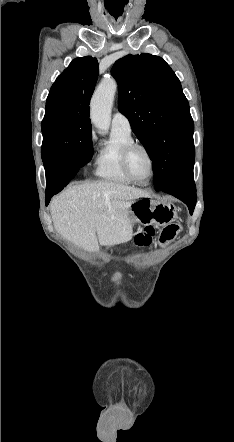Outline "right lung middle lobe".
I'll return each instance as SVG.
<instances>
[{"label":"right lung middle lobe","instance_id":"obj_1","mask_svg":"<svg viewBox=\"0 0 234 442\" xmlns=\"http://www.w3.org/2000/svg\"><path fill=\"white\" fill-rule=\"evenodd\" d=\"M43 163L68 156L78 167L89 162L94 153L92 129L80 119L53 117L43 119L41 124Z\"/></svg>","mask_w":234,"mask_h":442}]
</instances>
